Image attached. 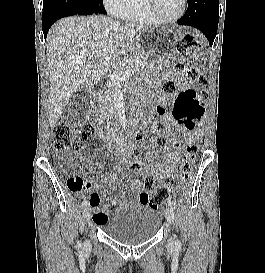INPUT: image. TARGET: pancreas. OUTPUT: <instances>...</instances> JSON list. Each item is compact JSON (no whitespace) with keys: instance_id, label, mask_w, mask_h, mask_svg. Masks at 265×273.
<instances>
[{"instance_id":"pancreas-1","label":"pancreas","mask_w":265,"mask_h":273,"mask_svg":"<svg viewBox=\"0 0 265 273\" xmlns=\"http://www.w3.org/2000/svg\"><path fill=\"white\" fill-rule=\"evenodd\" d=\"M140 57L138 54H127L124 58L119 59L115 65L116 67L121 66L125 70L129 69L131 75H133L140 70V67L145 65V61L140 59ZM121 84L119 77L114 72L108 86L101 92V99L99 101L100 110H111L113 108V99Z\"/></svg>"}]
</instances>
